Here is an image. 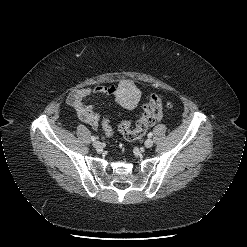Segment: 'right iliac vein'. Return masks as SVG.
Returning <instances> with one entry per match:
<instances>
[{
    "label": "right iliac vein",
    "instance_id": "1",
    "mask_svg": "<svg viewBox=\"0 0 247 247\" xmlns=\"http://www.w3.org/2000/svg\"><path fill=\"white\" fill-rule=\"evenodd\" d=\"M93 146L97 149H100L102 147V144L100 141H94L93 142Z\"/></svg>",
    "mask_w": 247,
    "mask_h": 247
}]
</instances>
